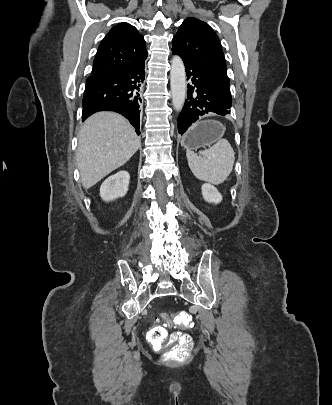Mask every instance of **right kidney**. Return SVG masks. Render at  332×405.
I'll use <instances>...</instances> for the list:
<instances>
[{
	"instance_id": "right-kidney-1",
	"label": "right kidney",
	"mask_w": 332,
	"mask_h": 405,
	"mask_svg": "<svg viewBox=\"0 0 332 405\" xmlns=\"http://www.w3.org/2000/svg\"><path fill=\"white\" fill-rule=\"evenodd\" d=\"M130 175L127 171H120L108 177L100 187V196L104 201H112L124 197L128 191Z\"/></svg>"
}]
</instances>
